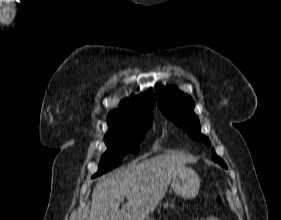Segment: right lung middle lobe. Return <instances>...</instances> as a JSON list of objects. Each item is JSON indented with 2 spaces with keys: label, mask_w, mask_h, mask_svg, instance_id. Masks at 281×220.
<instances>
[{
  "label": "right lung middle lobe",
  "mask_w": 281,
  "mask_h": 220,
  "mask_svg": "<svg viewBox=\"0 0 281 220\" xmlns=\"http://www.w3.org/2000/svg\"><path fill=\"white\" fill-rule=\"evenodd\" d=\"M153 116H147L117 127H109L105 135L107 152L102 156L99 169L93 177H97L122 163L127 153H137L139 144L151 127Z\"/></svg>",
  "instance_id": "obj_1"
}]
</instances>
